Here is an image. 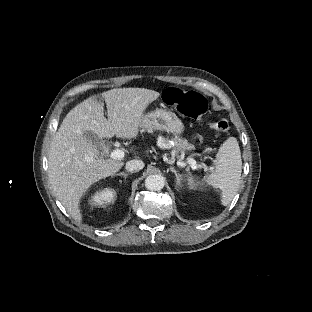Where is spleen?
<instances>
[{
    "label": "spleen",
    "mask_w": 312,
    "mask_h": 312,
    "mask_svg": "<svg viewBox=\"0 0 312 312\" xmlns=\"http://www.w3.org/2000/svg\"><path fill=\"white\" fill-rule=\"evenodd\" d=\"M242 171L239 144L234 137L228 138L219 148L215 160V170L205 178L208 185L222 190V204L228 205L238 190ZM190 189H196L200 182L188 179Z\"/></svg>",
    "instance_id": "obj_1"
}]
</instances>
